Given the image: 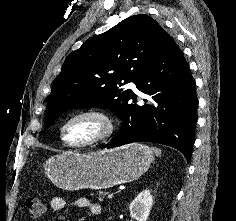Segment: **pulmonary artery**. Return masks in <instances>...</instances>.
I'll return each instance as SVG.
<instances>
[{
    "label": "pulmonary artery",
    "mask_w": 236,
    "mask_h": 221,
    "mask_svg": "<svg viewBox=\"0 0 236 221\" xmlns=\"http://www.w3.org/2000/svg\"><path fill=\"white\" fill-rule=\"evenodd\" d=\"M134 92H139L137 87H136V84L134 82H131L129 83L128 85Z\"/></svg>",
    "instance_id": "e3ab8cb5"
}]
</instances>
